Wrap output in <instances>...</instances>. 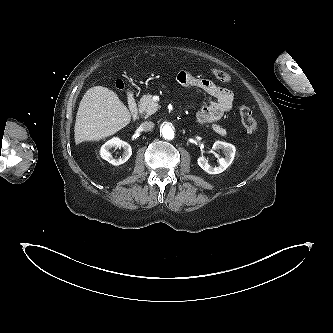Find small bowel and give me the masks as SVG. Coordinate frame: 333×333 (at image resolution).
I'll return each instance as SVG.
<instances>
[{
    "label": "small bowel",
    "instance_id": "c3829d8e",
    "mask_svg": "<svg viewBox=\"0 0 333 333\" xmlns=\"http://www.w3.org/2000/svg\"><path fill=\"white\" fill-rule=\"evenodd\" d=\"M177 81L185 87H196L205 91L210 97V103L198 113L200 122L208 124L219 120L233 106V93L226 88L217 86L211 80L194 75L189 71H181Z\"/></svg>",
    "mask_w": 333,
    "mask_h": 333
}]
</instances>
